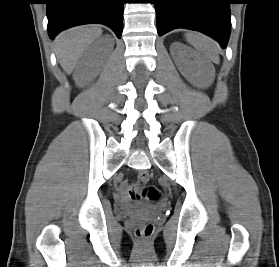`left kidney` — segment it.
Here are the masks:
<instances>
[{
	"label": "left kidney",
	"mask_w": 279,
	"mask_h": 267,
	"mask_svg": "<svg viewBox=\"0 0 279 267\" xmlns=\"http://www.w3.org/2000/svg\"><path fill=\"white\" fill-rule=\"evenodd\" d=\"M172 45L173 46L177 45L178 47L181 46L178 43H173ZM174 62L176 64V66L178 67V70L180 71V73L193 85L201 86L204 83V81L206 80V75L204 73L200 60H196L197 68H196L195 72H193L192 68H190L187 58H186V54H183V53L179 54V56L174 59Z\"/></svg>",
	"instance_id": "1"
}]
</instances>
